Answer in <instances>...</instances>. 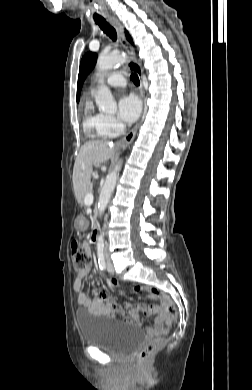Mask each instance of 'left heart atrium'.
<instances>
[{
  "label": "left heart atrium",
  "mask_w": 252,
  "mask_h": 390,
  "mask_svg": "<svg viewBox=\"0 0 252 390\" xmlns=\"http://www.w3.org/2000/svg\"><path fill=\"white\" fill-rule=\"evenodd\" d=\"M141 111V102L134 94H125L118 101V115L127 123L135 121Z\"/></svg>",
  "instance_id": "obj_1"
}]
</instances>
